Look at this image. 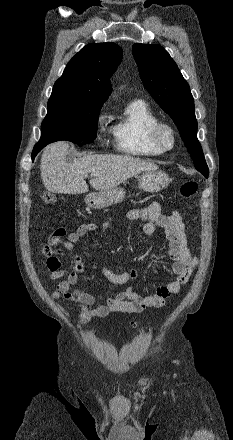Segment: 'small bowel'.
<instances>
[{
	"label": "small bowel",
	"mask_w": 233,
	"mask_h": 440,
	"mask_svg": "<svg viewBox=\"0 0 233 440\" xmlns=\"http://www.w3.org/2000/svg\"><path fill=\"white\" fill-rule=\"evenodd\" d=\"M124 217L129 221H144L143 231L151 237L157 228L161 229L168 241V282L159 286L153 295L142 296L132 289L119 291L113 296H95L77 288L79 275L84 271L83 261L74 252V246L79 239L95 231L101 233L107 229L111 219L104 222L101 229L94 224H81L75 231L67 233L63 227L56 228L49 236L48 241L41 248V253L47 257L46 268L51 280H61L55 291L51 294L53 300H66L76 305L79 310L80 325H85L93 317H107L111 313L139 314L146 308H161L166 301L181 291L190 279L193 268L198 264V259L189 250L184 223L179 212L164 214L161 205L153 201L147 206L132 209L125 213ZM64 251L72 254V269L61 267L59 255ZM102 275L114 285H124L135 279L137 272L133 269L121 273L114 272L107 267L101 268ZM67 315L65 309L60 308Z\"/></svg>",
	"instance_id": "obj_1"
}]
</instances>
